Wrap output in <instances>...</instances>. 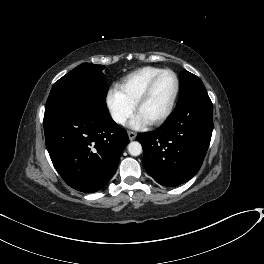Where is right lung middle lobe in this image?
I'll return each instance as SVG.
<instances>
[{"instance_id": "right-lung-middle-lobe-1", "label": "right lung middle lobe", "mask_w": 264, "mask_h": 264, "mask_svg": "<svg viewBox=\"0 0 264 264\" xmlns=\"http://www.w3.org/2000/svg\"><path fill=\"white\" fill-rule=\"evenodd\" d=\"M103 65L83 63L62 78L52 87L45 113L57 111L80 101L91 99L104 102L108 92Z\"/></svg>"}]
</instances>
